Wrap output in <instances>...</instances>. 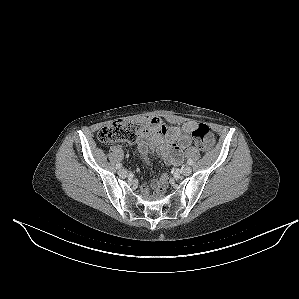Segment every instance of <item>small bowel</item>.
Returning a JSON list of instances; mask_svg holds the SVG:
<instances>
[{
	"instance_id": "c3829d8e",
	"label": "small bowel",
	"mask_w": 299,
	"mask_h": 299,
	"mask_svg": "<svg viewBox=\"0 0 299 299\" xmlns=\"http://www.w3.org/2000/svg\"><path fill=\"white\" fill-rule=\"evenodd\" d=\"M195 121H187L182 126L166 127L156 116L149 117L139 134L136 147L140 156L148 161L151 153L161 156L172 166H178L183 160V150L191 143V134L197 127ZM165 178L152 182V187L158 190Z\"/></svg>"
}]
</instances>
